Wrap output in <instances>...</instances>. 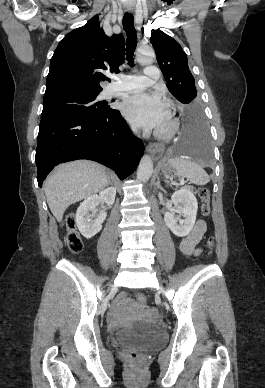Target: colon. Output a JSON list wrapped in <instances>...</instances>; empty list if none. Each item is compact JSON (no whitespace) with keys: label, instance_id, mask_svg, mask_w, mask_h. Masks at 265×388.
<instances>
[{"label":"colon","instance_id":"5ec220e1","mask_svg":"<svg viewBox=\"0 0 265 388\" xmlns=\"http://www.w3.org/2000/svg\"><path fill=\"white\" fill-rule=\"evenodd\" d=\"M198 194L202 203V213L205 216H209L211 213L210 191L206 187H201ZM63 227L65 230L64 239L70 251L74 253L81 251L83 245L80 235L76 230V223L73 215L69 214L66 216ZM214 244L215 239L214 237H211L209 239V247L212 249ZM135 299L139 304H145L147 300L145 294L141 292L135 293ZM126 356L134 362H137L140 359V355L136 351H129L126 353Z\"/></svg>","mask_w":265,"mask_h":388}]
</instances>
